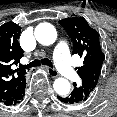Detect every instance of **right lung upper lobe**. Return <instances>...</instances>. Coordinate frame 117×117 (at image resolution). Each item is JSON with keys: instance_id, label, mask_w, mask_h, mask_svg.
<instances>
[{"instance_id": "obj_1", "label": "right lung upper lobe", "mask_w": 117, "mask_h": 117, "mask_svg": "<svg viewBox=\"0 0 117 117\" xmlns=\"http://www.w3.org/2000/svg\"><path fill=\"white\" fill-rule=\"evenodd\" d=\"M21 27L8 22L0 27V102L12 95L18 84L25 80L26 71L13 70L23 56L18 42Z\"/></svg>"}]
</instances>
